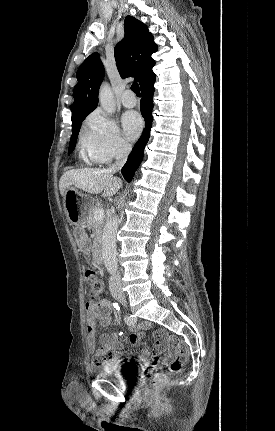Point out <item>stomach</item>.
<instances>
[{
	"label": "stomach",
	"mask_w": 275,
	"mask_h": 431,
	"mask_svg": "<svg viewBox=\"0 0 275 431\" xmlns=\"http://www.w3.org/2000/svg\"><path fill=\"white\" fill-rule=\"evenodd\" d=\"M63 199L64 210L69 222L76 227L83 226L93 205V200L73 187L66 190Z\"/></svg>",
	"instance_id": "1"
}]
</instances>
